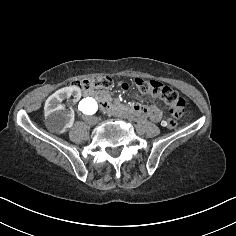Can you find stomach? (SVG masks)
Returning a JSON list of instances; mask_svg holds the SVG:
<instances>
[{
    "label": "stomach",
    "mask_w": 236,
    "mask_h": 236,
    "mask_svg": "<svg viewBox=\"0 0 236 236\" xmlns=\"http://www.w3.org/2000/svg\"><path fill=\"white\" fill-rule=\"evenodd\" d=\"M123 87H124V89H126V90H127V89H129V87H130V86H129V84H127V83H126V84H124V86H123ZM127 93H128V95H130L131 97H133V98L135 97V99H137V100H138V99H140V97H141V96H140V94H138V93L136 94V92H134V91H133V90H131V89H130V90H128V92H127ZM141 100H142V102H144V103H145V102H147V100H148V99H147V97H145V96H144V97H142V99H141Z\"/></svg>",
    "instance_id": "stomach-1"
}]
</instances>
